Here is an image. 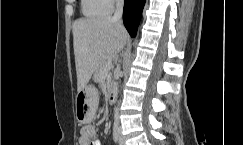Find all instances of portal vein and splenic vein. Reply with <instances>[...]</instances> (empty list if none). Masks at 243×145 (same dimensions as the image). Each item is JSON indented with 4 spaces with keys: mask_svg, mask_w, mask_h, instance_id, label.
Segmentation results:
<instances>
[{
    "mask_svg": "<svg viewBox=\"0 0 243 145\" xmlns=\"http://www.w3.org/2000/svg\"><path fill=\"white\" fill-rule=\"evenodd\" d=\"M112 68V60L108 59L107 64L104 67V72L107 73Z\"/></svg>",
    "mask_w": 243,
    "mask_h": 145,
    "instance_id": "18ae733b",
    "label": "portal vein and splenic vein"
}]
</instances>
